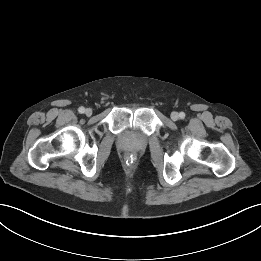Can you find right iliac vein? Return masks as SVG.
<instances>
[{
	"instance_id": "63e3f726",
	"label": "right iliac vein",
	"mask_w": 261,
	"mask_h": 261,
	"mask_svg": "<svg viewBox=\"0 0 261 261\" xmlns=\"http://www.w3.org/2000/svg\"><path fill=\"white\" fill-rule=\"evenodd\" d=\"M85 114H86L87 116H91L92 110H91L90 108H87V109L85 110Z\"/></svg>"
}]
</instances>
